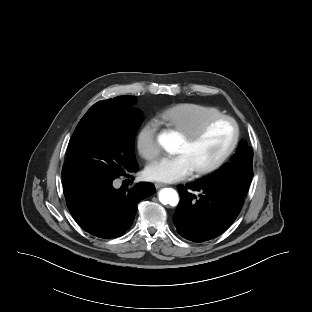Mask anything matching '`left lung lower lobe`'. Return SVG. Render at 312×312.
<instances>
[{"label":"left lung lower lobe","instance_id":"left-lung-lower-lobe-1","mask_svg":"<svg viewBox=\"0 0 312 312\" xmlns=\"http://www.w3.org/2000/svg\"><path fill=\"white\" fill-rule=\"evenodd\" d=\"M179 194L173 221L177 232L193 242L207 241L223 233L239 215L245 198L230 184L207 179L180 186Z\"/></svg>","mask_w":312,"mask_h":312}]
</instances>
